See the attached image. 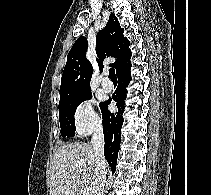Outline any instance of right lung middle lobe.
<instances>
[{"label": "right lung middle lobe", "instance_id": "obj_1", "mask_svg": "<svg viewBox=\"0 0 211 195\" xmlns=\"http://www.w3.org/2000/svg\"><path fill=\"white\" fill-rule=\"evenodd\" d=\"M91 97L92 94L89 93L79 98L59 103V120L62 137L74 136L76 130L74 123V114L76 108L81 102L89 100ZM103 104L104 103H100V108H102Z\"/></svg>", "mask_w": 211, "mask_h": 195}]
</instances>
